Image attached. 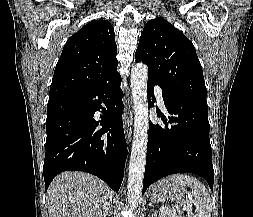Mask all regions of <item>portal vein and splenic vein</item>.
Masks as SVG:
<instances>
[{
  "instance_id": "portal-vein-and-splenic-vein-1",
  "label": "portal vein and splenic vein",
  "mask_w": 253,
  "mask_h": 217,
  "mask_svg": "<svg viewBox=\"0 0 253 217\" xmlns=\"http://www.w3.org/2000/svg\"><path fill=\"white\" fill-rule=\"evenodd\" d=\"M161 211H164V212H166V213H170L171 211L170 210H168V208H161ZM188 213V215H191L192 214V212L191 211H188L187 212Z\"/></svg>"
}]
</instances>
